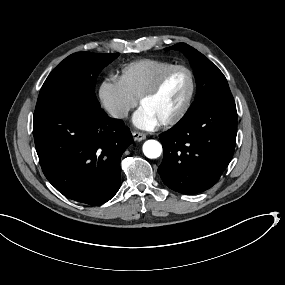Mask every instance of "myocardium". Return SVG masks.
I'll use <instances>...</instances> for the list:
<instances>
[{"label":"myocardium","instance_id":"myocardium-1","mask_svg":"<svg viewBox=\"0 0 285 285\" xmlns=\"http://www.w3.org/2000/svg\"><path fill=\"white\" fill-rule=\"evenodd\" d=\"M176 74H184L187 77L188 84H189L188 93H187V96L185 98V101L182 107L176 113L160 120V123L162 125L175 124L179 122L184 117V115L188 112L191 102H192L193 91H194V82H193V77H192L191 72L182 67L172 68L166 71L158 79V81L150 89L145 91L139 98V105H142L149 98L156 95L163 88V86L168 82V80Z\"/></svg>","mask_w":285,"mask_h":285}]
</instances>
